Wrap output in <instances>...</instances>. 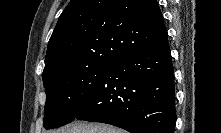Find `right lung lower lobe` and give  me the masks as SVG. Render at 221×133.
I'll use <instances>...</instances> for the list:
<instances>
[{"label": "right lung lower lobe", "mask_w": 221, "mask_h": 133, "mask_svg": "<svg viewBox=\"0 0 221 133\" xmlns=\"http://www.w3.org/2000/svg\"><path fill=\"white\" fill-rule=\"evenodd\" d=\"M74 119L108 123L131 133H174V71L168 39L112 62Z\"/></svg>", "instance_id": "98d812e1"}]
</instances>
